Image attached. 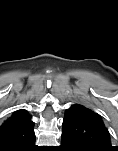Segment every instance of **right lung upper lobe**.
Returning <instances> with one entry per match:
<instances>
[{
    "mask_svg": "<svg viewBox=\"0 0 118 151\" xmlns=\"http://www.w3.org/2000/svg\"><path fill=\"white\" fill-rule=\"evenodd\" d=\"M34 123L26 110H18L0 126V151H22L35 142Z\"/></svg>",
    "mask_w": 118,
    "mask_h": 151,
    "instance_id": "1",
    "label": "right lung upper lobe"
}]
</instances>
